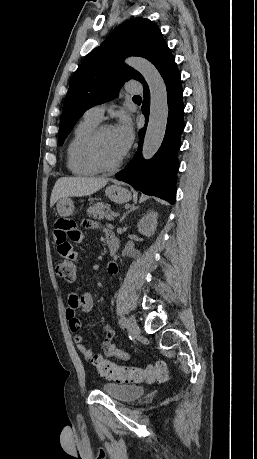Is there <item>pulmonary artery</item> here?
<instances>
[{"label": "pulmonary artery", "instance_id": "e3ab8cb5", "mask_svg": "<svg viewBox=\"0 0 257 459\" xmlns=\"http://www.w3.org/2000/svg\"><path fill=\"white\" fill-rule=\"evenodd\" d=\"M140 91L141 90L139 88L133 87L131 85L127 87V92L130 94H138ZM103 112H104V106L96 105V106L91 107L89 110H87L85 115L95 120L100 121L103 117Z\"/></svg>", "mask_w": 257, "mask_h": 459}]
</instances>
